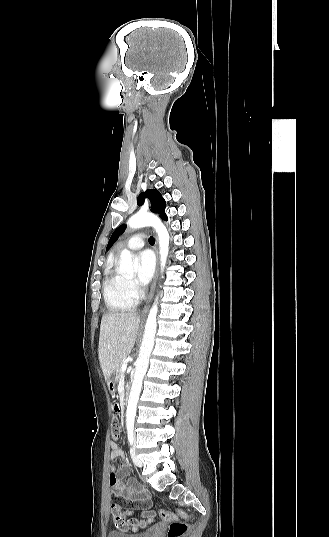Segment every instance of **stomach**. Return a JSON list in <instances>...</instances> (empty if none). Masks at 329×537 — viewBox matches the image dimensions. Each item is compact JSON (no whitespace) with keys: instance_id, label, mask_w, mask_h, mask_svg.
I'll return each mask as SVG.
<instances>
[{"instance_id":"1","label":"stomach","mask_w":329,"mask_h":537,"mask_svg":"<svg viewBox=\"0 0 329 537\" xmlns=\"http://www.w3.org/2000/svg\"><path fill=\"white\" fill-rule=\"evenodd\" d=\"M115 383H116L115 374L112 373L107 381L109 390H114Z\"/></svg>"}]
</instances>
